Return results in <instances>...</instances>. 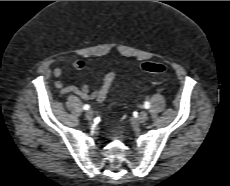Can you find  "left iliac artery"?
Listing matches in <instances>:
<instances>
[{
    "label": "left iliac artery",
    "mask_w": 230,
    "mask_h": 186,
    "mask_svg": "<svg viewBox=\"0 0 230 186\" xmlns=\"http://www.w3.org/2000/svg\"><path fill=\"white\" fill-rule=\"evenodd\" d=\"M144 107H145L146 109L150 108V103H149L148 101H146L145 104H144Z\"/></svg>",
    "instance_id": "1"
}]
</instances>
